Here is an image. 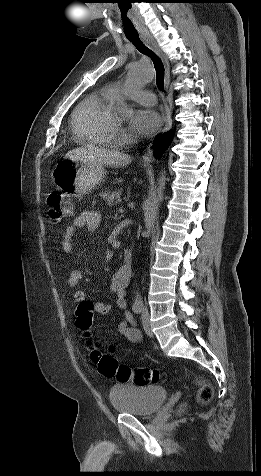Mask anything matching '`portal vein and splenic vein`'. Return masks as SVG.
<instances>
[{"label": "portal vein and splenic vein", "instance_id": "portal-vein-and-splenic-vein-1", "mask_svg": "<svg viewBox=\"0 0 261 476\" xmlns=\"http://www.w3.org/2000/svg\"><path fill=\"white\" fill-rule=\"evenodd\" d=\"M119 211L122 213L124 210L122 208H120Z\"/></svg>", "mask_w": 261, "mask_h": 476}]
</instances>
